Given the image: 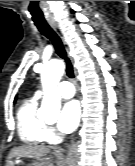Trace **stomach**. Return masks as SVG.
I'll use <instances>...</instances> for the list:
<instances>
[{"instance_id":"1","label":"stomach","mask_w":135,"mask_h":166,"mask_svg":"<svg viewBox=\"0 0 135 166\" xmlns=\"http://www.w3.org/2000/svg\"><path fill=\"white\" fill-rule=\"evenodd\" d=\"M8 166H16V162L12 161ZM34 166H41V165H34Z\"/></svg>"}]
</instances>
